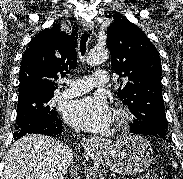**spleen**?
I'll use <instances>...</instances> for the list:
<instances>
[{
    "mask_svg": "<svg viewBox=\"0 0 183 179\" xmlns=\"http://www.w3.org/2000/svg\"><path fill=\"white\" fill-rule=\"evenodd\" d=\"M173 167H177V163L176 162H173Z\"/></svg>",
    "mask_w": 183,
    "mask_h": 179,
    "instance_id": "obj_1",
    "label": "spleen"
}]
</instances>
